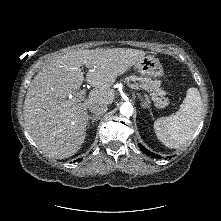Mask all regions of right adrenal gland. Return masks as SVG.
Wrapping results in <instances>:
<instances>
[{"label":"right adrenal gland","instance_id":"obj_1","mask_svg":"<svg viewBox=\"0 0 221 221\" xmlns=\"http://www.w3.org/2000/svg\"><path fill=\"white\" fill-rule=\"evenodd\" d=\"M100 119V117H97V116H88V119H87V126L89 127L90 126V120L92 122V125H94V123L96 121H98Z\"/></svg>","mask_w":221,"mask_h":221}]
</instances>
